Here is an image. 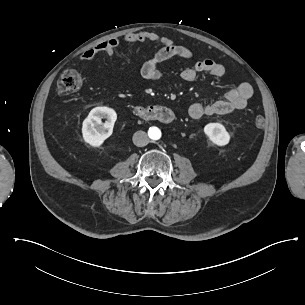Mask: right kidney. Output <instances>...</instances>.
<instances>
[{
    "instance_id": "right-kidney-1",
    "label": "right kidney",
    "mask_w": 305,
    "mask_h": 305,
    "mask_svg": "<svg viewBox=\"0 0 305 305\" xmlns=\"http://www.w3.org/2000/svg\"><path fill=\"white\" fill-rule=\"evenodd\" d=\"M101 118H108V122L104 124L106 129H112L117 120V113L112 108L96 107L93 108L89 115L82 123V137L84 142L92 148H101L104 143L103 127Z\"/></svg>"
}]
</instances>
